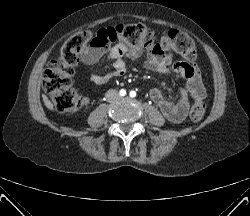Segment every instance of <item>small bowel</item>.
Listing matches in <instances>:
<instances>
[{"mask_svg": "<svg viewBox=\"0 0 250 216\" xmlns=\"http://www.w3.org/2000/svg\"><path fill=\"white\" fill-rule=\"evenodd\" d=\"M144 53L143 48L130 47L125 43H118L111 48L88 47L81 53L83 63L89 68L90 80L97 85H105L113 78L123 76L127 69V60H136ZM103 57L112 61V71L100 73L93 66ZM144 65L147 69L172 76L179 74L184 83L178 86V98L169 101L162 92L155 88L150 91L151 100L158 105L163 115L171 122L179 123L187 116L192 99H204L206 91L196 66L187 61H175L171 53L161 43H156L147 50ZM172 66V69H170Z\"/></svg>", "mask_w": 250, "mask_h": 216, "instance_id": "c3829d8e", "label": "small bowel"}]
</instances>
